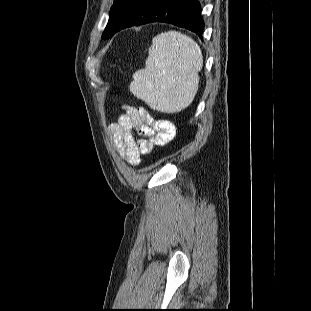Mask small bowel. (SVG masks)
<instances>
[{
  "label": "small bowel",
  "instance_id": "obj_1",
  "mask_svg": "<svg viewBox=\"0 0 311 311\" xmlns=\"http://www.w3.org/2000/svg\"><path fill=\"white\" fill-rule=\"evenodd\" d=\"M124 108L126 113L110 126L109 133L120 156L129 164L138 165L141 155L173 138L174 127L169 121L153 118L142 107Z\"/></svg>",
  "mask_w": 311,
  "mask_h": 311
}]
</instances>
